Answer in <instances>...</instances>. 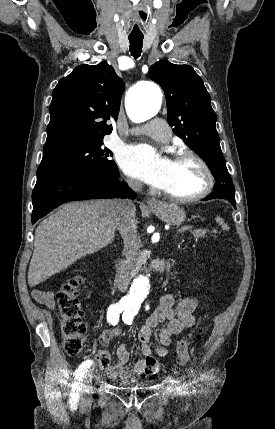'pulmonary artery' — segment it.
<instances>
[{"label":"pulmonary artery","instance_id":"obj_1","mask_svg":"<svg viewBox=\"0 0 275 429\" xmlns=\"http://www.w3.org/2000/svg\"><path fill=\"white\" fill-rule=\"evenodd\" d=\"M130 133L145 134L159 142H167L171 136L169 128L161 120H153L146 125L132 128Z\"/></svg>","mask_w":275,"mask_h":429}]
</instances>
